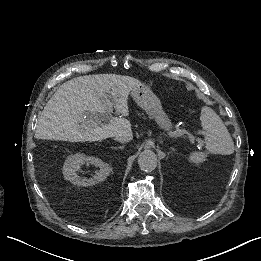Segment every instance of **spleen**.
<instances>
[{"label":"spleen","instance_id":"spleen-1","mask_svg":"<svg viewBox=\"0 0 261 261\" xmlns=\"http://www.w3.org/2000/svg\"><path fill=\"white\" fill-rule=\"evenodd\" d=\"M200 120L205 147L203 151L190 152L188 162L193 165H201L209 155L233 154V140L221 119L211 109L203 108Z\"/></svg>","mask_w":261,"mask_h":261}]
</instances>
